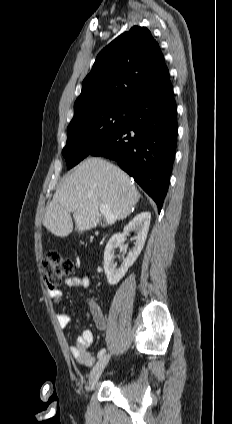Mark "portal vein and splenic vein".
I'll use <instances>...</instances> for the list:
<instances>
[{"label":"portal vein and splenic vein","mask_w":232,"mask_h":424,"mask_svg":"<svg viewBox=\"0 0 232 424\" xmlns=\"http://www.w3.org/2000/svg\"><path fill=\"white\" fill-rule=\"evenodd\" d=\"M100 211L105 216L106 223L111 225L115 222L113 214L110 213L109 207L107 205H100Z\"/></svg>","instance_id":"portal-vein-and-splenic-vein-1"}]
</instances>
